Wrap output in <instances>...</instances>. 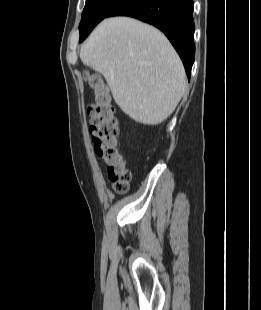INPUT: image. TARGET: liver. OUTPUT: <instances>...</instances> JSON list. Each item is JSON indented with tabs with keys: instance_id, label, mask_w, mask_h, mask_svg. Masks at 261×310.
I'll list each match as a JSON object with an SVG mask.
<instances>
[{
	"instance_id": "1",
	"label": "liver",
	"mask_w": 261,
	"mask_h": 310,
	"mask_svg": "<svg viewBox=\"0 0 261 310\" xmlns=\"http://www.w3.org/2000/svg\"><path fill=\"white\" fill-rule=\"evenodd\" d=\"M80 59L103 75L121 110L145 125L166 120L187 86L165 35L133 18L103 20L81 47Z\"/></svg>"
}]
</instances>
